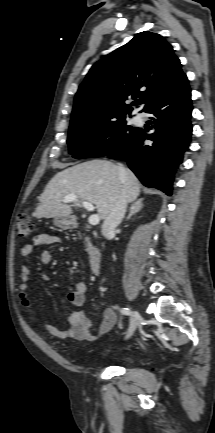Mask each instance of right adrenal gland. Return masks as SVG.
<instances>
[{
  "label": "right adrenal gland",
  "mask_w": 215,
  "mask_h": 433,
  "mask_svg": "<svg viewBox=\"0 0 215 433\" xmlns=\"http://www.w3.org/2000/svg\"><path fill=\"white\" fill-rule=\"evenodd\" d=\"M142 201L143 199L141 198L132 204L129 215L127 216V220H129L134 214L138 213L142 209L143 207Z\"/></svg>",
  "instance_id": "obj_1"
}]
</instances>
